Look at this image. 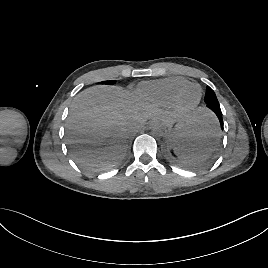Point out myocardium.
I'll list each match as a JSON object with an SVG mask.
<instances>
[{
	"instance_id": "myocardium-1",
	"label": "myocardium",
	"mask_w": 268,
	"mask_h": 268,
	"mask_svg": "<svg viewBox=\"0 0 268 268\" xmlns=\"http://www.w3.org/2000/svg\"><path fill=\"white\" fill-rule=\"evenodd\" d=\"M191 88H197L198 89V92H199L198 98H197V100L194 103H192L190 105H184L182 103V97ZM201 96H202L201 88L198 85L189 84V85H186L183 88L179 89L176 92V94L174 95V97L172 99V102H173V105H174L175 109L178 112H180V113H187V112L192 111L193 109H195L198 106V104L201 101Z\"/></svg>"
}]
</instances>
